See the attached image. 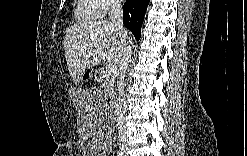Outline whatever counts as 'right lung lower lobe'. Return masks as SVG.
I'll return each mask as SVG.
<instances>
[{"instance_id": "1", "label": "right lung lower lobe", "mask_w": 247, "mask_h": 156, "mask_svg": "<svg viewBox=\"0 0 247 156\" xmlns=\"http://www.w3.org/2000/svg\"><path fill=\"white\" fill-rule=\"evenodd\" d=\"M149 0H127L123 6V23L137 40L140 39L141 26Z\"/></svg>"}]
</instances>
